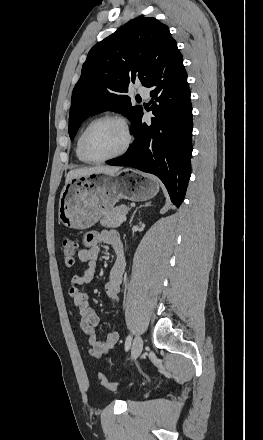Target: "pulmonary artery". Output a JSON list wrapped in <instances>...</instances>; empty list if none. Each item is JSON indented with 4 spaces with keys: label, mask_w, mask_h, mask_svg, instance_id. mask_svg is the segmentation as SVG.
Returning <instances> with one entry per match:
<instances>
[{
    "label": "pulmonary artery",
    "mask_w": 263,
    "mask_h": 440,
    "mask_svg": "<svg viewBox=\"0 0 263 440\" xmlns=\"http://www.w3.org/2000/svg\"><path fill=\"white\" fill-rule=\"evenodd\" d=\"M138 92L144 98H148L149 97V89L146 88V87H140L138 89Z\"/></svg>",
    "instance_id": "1"
}]
</instances>
